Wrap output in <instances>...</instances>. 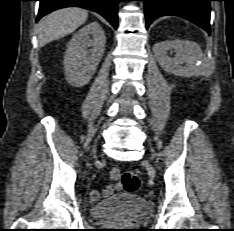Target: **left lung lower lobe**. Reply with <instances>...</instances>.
Wrapping results in <instances>:
<instances>
[{
    "instance_id": "0a47b994",
    "label": "left lung lower lobe",
    "mask_w": 234,
    "mask_h": 231,
    "mask_svg": "<svg viewBox=\"0 0 234 231\" xmlns=\"http://www.w3.org/2000/svg\"><path fill=\"white\" fill-rule=\"evenodd\" d=\"M145 1L146 28L157 17L175 15L183 17L208 34L210 31V1L213 0H139Z\"/></svg>"
}]
</instances>
